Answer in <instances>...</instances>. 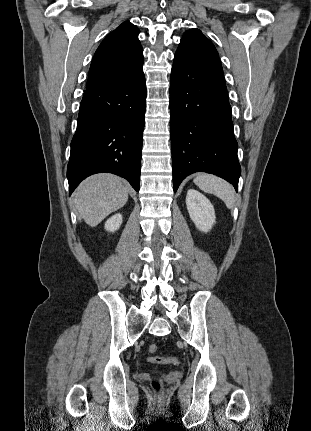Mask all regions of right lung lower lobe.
Wrapping results in <instances>:
<instances>
[{
	"label": "right lung lower lobe",
	"mask_w": 311,
	"mask_h": 431,
	"mask_svg": "<svg viewBox=\"0 0 311 431\" xmlns=\"http://www.w3.org/2000/svg\"><path fill=\"white\" fill-rule=\"evenodd\" d=\"M145 107L143 65L126 79L86 89L71 142L69 194L100 172L119 175L139 191Z\"/></svg>",
	"instance_id": "1"
}]
</instances>
